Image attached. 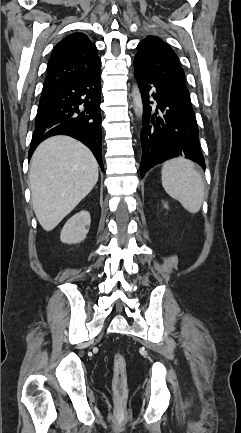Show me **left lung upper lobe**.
Returning <instances> with one entry per match:
<instances>
[{
	"mask_svg": "<svg viewBox=\"0 0 241 433\" xmlns=\"http://www.w3.org/2000/svg\"><path fill=\"white\" fill-rule=\"evenodd\" d=\"M134 59L135 71L162 85L195 116L185 73L173 49L156 36H148L138 46Z\"/></svg>",
	"mask_w": 241,
	"mask_h": 433,
	"instance_id": "obj_1",
	"label": "left lung upper lobe"
}]
</instances>
